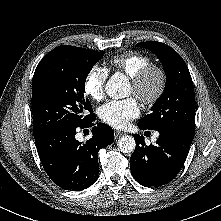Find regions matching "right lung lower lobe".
Wrapping results in <instances>:
<instances>
[{"label":"right lung lower lobe","instance_id":"98d812e1","mask_svg":"<svg viewBox=\"0 0 221 221\" xmlns=\"http://www.w3.org/2000/svg\"><path fill=\"white\" fill-rule=\"evenodd\" d=\"M93 116L80 126H63L34 136L42 166L50 179L65 190L88 188L99 177L97 152L114 141L112 129L103 123L93 128L85 143L75 139L76 130L92 126Z\"/></svg>","mask_w":221,"mask_h":221}]
</instances>
